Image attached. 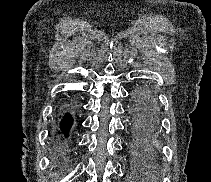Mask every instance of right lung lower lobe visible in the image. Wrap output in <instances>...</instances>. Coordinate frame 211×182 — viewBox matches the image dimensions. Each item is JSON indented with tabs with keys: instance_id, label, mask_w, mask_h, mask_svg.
Here are the masks:
<instances>
[{
	"instance_id": "obj_1",
	"label": "right lung lower lobe",
	"mask_w": 211,
	"mask_h": 182,
	"mask_svg": "<svg viewBox=\"0 0 211 182\" xmlns=\"http://www.w3.org/2000/svg\"><path fill=\"white\" fill-rule=\"evenodd\" d=\"M72 117L70 114H65L60 122V129L64 135H67L72 125Z\"/></svg>"
}]
</instances>
